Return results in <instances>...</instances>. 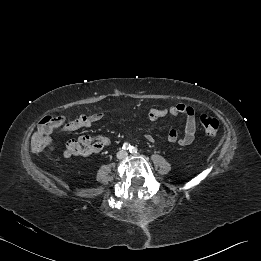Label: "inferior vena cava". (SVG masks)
Instances as JSON below:
<instances>
[{"label": "inferior vena cava", "instance_id": "obj_1", "mask_svg": "<svg viewBox=\"0 0 261 261\" xmlns=\"http://www.w3.org/2000/svg\"><path fill=\"white\" fill-rule=\"evenodd\" d=\"M127 156V153L125 152V151H119L118 153H117V158L118 159H123V158H125Z\"/></svg>", "mask_w": 261, "mask_h": 261}]
</instances>
